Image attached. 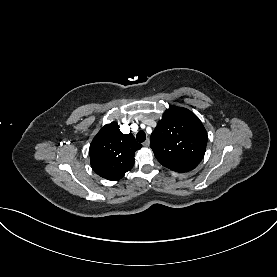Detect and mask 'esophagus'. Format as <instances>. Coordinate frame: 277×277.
Listing matches in <instances>:
<instances>
[{
  "label": "esophagus",
  "mask_w": 277,
  "mask_h": 277,
  "mask_svg": "<svg viewBox=\"0 0 277 277\" xmlns=\"http://www.w3.org/2000/svg\"><path fill=\"white\" fill-rule=\"evenodd\" d=\"M149 145H150V140L147 139V140L143 143V146H144V147H149Z\"/></svg>",
  "instance_id": "esophagus-1"
}]
</instances>
